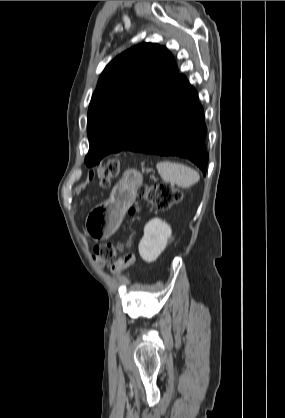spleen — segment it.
<instances>
[{
	"label": "spleen",
	"mask_w": 285,
	"mask_h": 418,
	"mask_svg": "<svg viewBox=\"0 0 285 418\" xmlns=\"http://www.w3.org/2000/svg\"><path fill=\"white\" fill-rule=\"evenodd\" d=\"M156 168L164 181L183 188L196 184L200 179L198 172L184 164L162 161L156 164Z\"/></svg>",
	"instance_id": "3e777b00"
}]
</instances>
